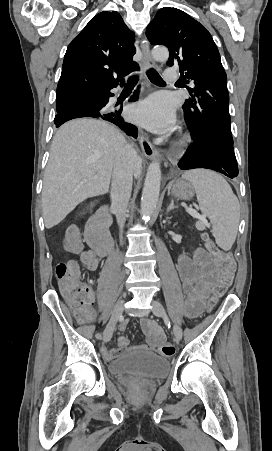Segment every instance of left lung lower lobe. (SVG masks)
<instances>
[{
  "label": "left lung lower lobe",
  "instance_id": "0a47b994",
  "mask_svg": "<svg viewBox=\"0 0 272 451\" xmlns=\"http://www.w3.org/2000/svg\"><path fill=\"white\" fill-rule=\"evenodd\" d=\"M179 163L180 169L207 168L223 173L229 178L238 175V165L233 143L216 134L194 139Z\"/></svg>",
  "mask_w": 272,
  "mask_h": 451
}]
</instances>
